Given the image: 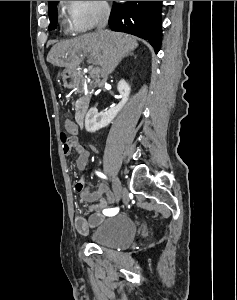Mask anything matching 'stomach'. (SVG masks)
Returning a JSON list of instances; mask_svg holds the SVG:
<instances>
[{"label": "stomach", "mask_w": 237, "mask_h": 300, "mask_svg": "<svg viewBox=\"0 0 237 300\" xmlns=\"http://www.w3.org/2000/svg\"><path fill=\"white\" fill-rule=\"evenodd\" d=\"M67 73H69V71H64L63 73V79H64V83H67V79H70L72 73H70V75H67Z\"/></svg>", "instance_id": "0dacf381"}]
</instances>
